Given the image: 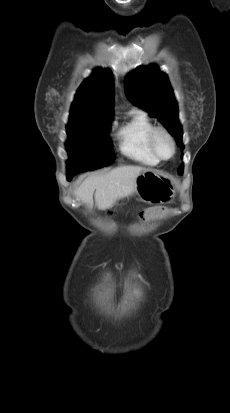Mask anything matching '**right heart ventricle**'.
Wrapping results in <instances>:
<instances>
[{
	"mask_svg": "<svg viewBox=\"0 0 230 413\" xmlns=\"http://www.w3.org/2000/svg\"><path fill=\"white\" fill-rule=\"evenodd\" d=\"M153 127L152 121L145 112L132 111L130 119L117 132L122 154L146 165L157 164L158 159L149 145V133Z\"/></svg>",
	"mask_w": 230,
	"mask_h": 413,
	"instance_id": "e07e8e85",
	"label": "right heart ventricle"
}]
</instances>
